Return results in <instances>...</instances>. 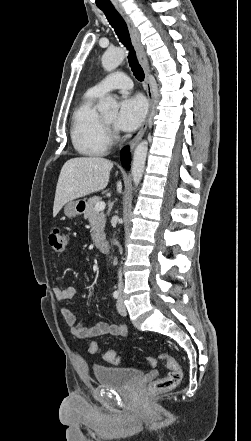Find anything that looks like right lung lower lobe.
I'll use <instances>...</instances> for the list:
<instances>
[{
  "mask_svg": "<svg viewBox=\"0 0 251 441\" xmlns=\"http://www.w3.org/2000/svg\"><path fill=\"white\" fill-rule=\"evenodd\" d=\"M121 162H122L123 167H125L126 169L129 168V164H130L129 147H125L121 151Z\"/></svg>",
  "mask_w": 251,
  "mask_h": 441,
  "instance_id": "98d812e1",
  "label": "right lung lower lobe"
}]
</instances>
